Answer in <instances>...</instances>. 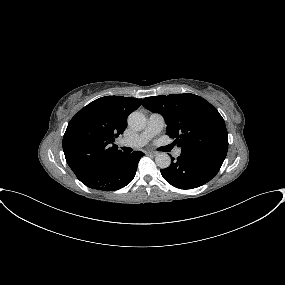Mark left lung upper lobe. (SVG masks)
Returning <instances> with one entry per match:
<instances>
[{
  "label": "left lung upper lobe",
  "mask_w": 285,
  "mask_h": 285,
  "mask_svg": "<svg viewBox=\"0 0 285 285\" xmlns=\"http://www.w3.org/2000/svg\"><path fill=\"white\" fill-rule=\"evenodd\" d=\"M143 105L164 117L166 134L175 139L181 153L225 159L228 150L225 122L202 97L190 93L152 96L146 97Z\"/></svg>",
  "instance_id": "5c2ea615"
}]
</instances>
